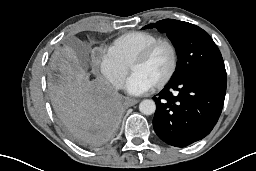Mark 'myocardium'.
<instances>
[{"label":"myocardium","instance_id":"f54148a6","mask_svg":"<svg viewBox=\"0 0 256 171\" xmlns=\"http://www.w3.org/2000/svg\"><path fill=\"white\" fill-rule=\"evenodd\" d=\"M161 45H166L170 49L172 61L170 69L165 77L161 81L153 85L155 89H161L166 86L176 73L178 67V52L174 43L168 39H158L142 49L130 63V69H132L134 65L145 62L152 55V53Z\"/></svg>","mask_w":256,"mask_h":171}]
</instances>
